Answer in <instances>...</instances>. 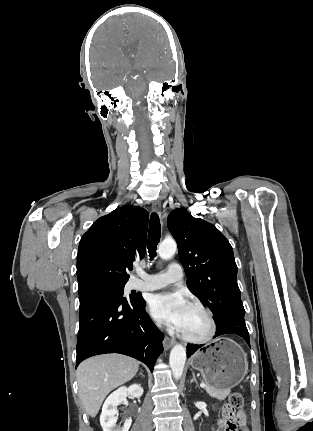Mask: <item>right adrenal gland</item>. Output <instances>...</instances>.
Returning a JSON list of instances; mask_svg holds the SVG:
<instances>
[{"label": "right adrenal gland", "instance_id": "1", "mask_svg": "<svg viewBox=\"0 0 313 431\" xmlns=\"http://www.w3.org/2000/svg\"><path fill=\"white\" fill-rule=\"evenodd\" d=\"M139 375L143 376V373H142V372H139Z\"/></svg>", "mask_w": 313, "mask_h": 431}]
</instances>
